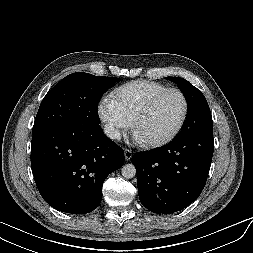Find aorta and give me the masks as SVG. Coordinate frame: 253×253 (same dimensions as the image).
<instances>
[{"instance_id":"obj_1","label":"aorta","mask_w":253,"mask_h":253,"mask_svg":"<svg viewBox=\"0 0 253 253\" xmlns=\"http://www.w3.org/2000/svg\"><path fill=\"white\" fill-rule=\"evenodd\" d=\"M122 176L131 179L136 175V168L132 163L125 164L121 169Z\"/></svg>"}]
</instances>
